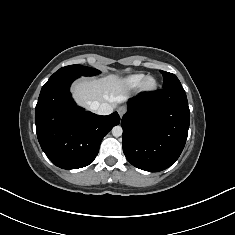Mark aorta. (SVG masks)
I'll use <instances>...</instances> for the list:
<instances>
[{
	"mask_svg": "<svg viewBox=\"0 0 235 235\" xmlns=\"http://www.w3.org/2000/svg\"><path fill=\"white\" fill-rule=\"evenodd\" d=\"M122 133H123V130H122V127H121V126L117 125V126H115V127L112 128V134H113V136L119 137V136L122 135Z\"/></svg>",
	"mask_w": 235,
	"mask_h": 235,
	"instance_id": "aorta-1",
	"label": "aorta"
}]
</instances>
